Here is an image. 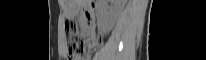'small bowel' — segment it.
I'll return each instance as SVG.
<instances>
[{"instance_id": "obj_1", "label": "small bowel", "mask_w": 206, "mask_h": 60, "mask_svg": "<svg viewBox=\"0 0 206 60\" xmlns=\"http://www.w3.org/2000/svg\"><path fill=\"white\" fill-rule=\"evenodd\" d=\"M87 18L90 19L89 13H87ZM81 59H82V58H81L80 56H77V57L75 58V60H81Z\"/></svg>"}]
</instances>
